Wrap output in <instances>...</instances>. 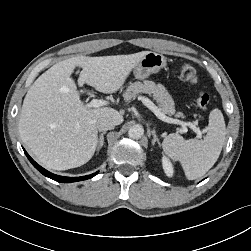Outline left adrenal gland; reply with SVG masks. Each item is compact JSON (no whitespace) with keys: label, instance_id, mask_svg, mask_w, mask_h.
Segmentation results:
<instances>
[{"label":"left adrenal gland","instance_id":"left-adrenal-gland-1","mask_svg":"<svg viewBox=\"0 0 251 251\" xmlns=\"http://www.w3.org/2000/svg\"><path fill=\"white\" fill-rule=\"evenodd\" d=\"M151 134L153 136L152 145H155L156 142L158 143V145H160L158 136H157L156 131L154 129L151 131Z\"/></svg>","mask_w":251,"mask_h":251}]
</instances>
